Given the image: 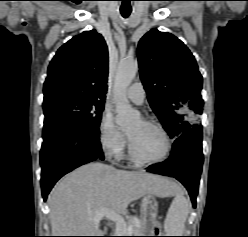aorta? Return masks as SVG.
Masks as SVG:
<instances>
[{
    "label": "aorta",
    "instance_id": "aorta-1",
    "mask_svg": "<svg viewBox=\"0 0 248 237\" xmlns=\"http://www.w3.org/2000/svg\"><path fill=\"white\" fill-rule=\"evenodd\" d=\"M138 72V62L134 59L122 60L119 63L114 83V103L116 123L124 128L135 123L140 114L134 110L126 96V91Z\"/></svg>",
    "mask_w": 248,
    "mask_h": 237
}]
</instances>
